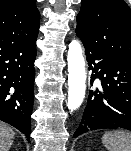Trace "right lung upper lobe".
I'll return each instance as SVG.
<instances>
[{
    "label": "right lung upper lobe",
    "instance_id": "right-lung-upper-lobe-1",
    "mask_svg": "<svg viewBox=\"0 0 131 151\" xmlns=\"http://www.w3.org/2000/svg\"><path fill=\"white\" fill-rule=\"evenodd\" d=\"M36 0H0V43L38 35L40 13Z\"/></svg>",
    "mask_w": 131,
    "mask_h": 151
}]
</instances>
